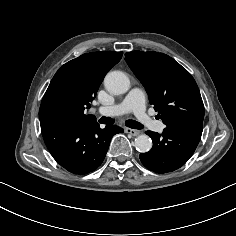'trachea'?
<instances>
[{
    "label": "trachea",
    "mask_w": 236,
    "mask_h": 236,
    "mask_svg": "<svg viewBox=\"0 0 236 236\" xmlns=\"http://www.w3.org/2000/svg\"><path fill=\"white\" fill-rule=\"evenodd\" d=\"M99 122L102 124H113L114 119H112L110 117L103 116L99 119ZM125 125L129 128H132V129H142L143 128V125L141 123L134 121V120L125 121Z\"/></svg>",
    "instance_id": "1"
}]
</instances>
